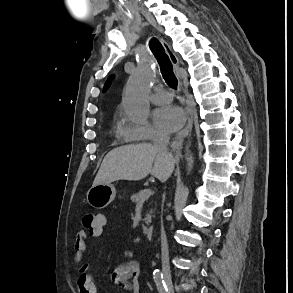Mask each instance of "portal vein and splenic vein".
<instances>
[{
    "label": "portal vein and splenic vein",
    "instance_id": "portal-vein-and-splenic-vein-1",
    "mask_svg": "<svg viewBox=\"0 0 293 293\" xmlns=\"http://www.w3.org/2000/svg\"><path fill=\"white\" fill-rule=\"evenodd\" d=\"M152 194V190L151 189H147L145 194L141 197V200L144 201L146 199H148Z\"/></svg>",
    "mask_w": 293,
    "mask_h": 293
}]
</instances>
